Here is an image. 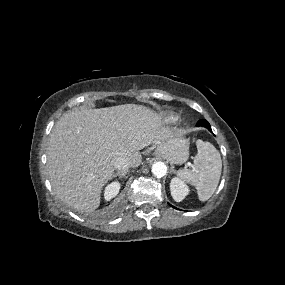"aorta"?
<instances>
[{"instance_id":"1","label":"aorta","mask_w":285,"mask_h":285,"mask_svg":"<svg viewBox=\"0 0 285 285\" xmlns=\"http://www.w3.org/2000/svg\"><path fill=\"white\" fill-rule=\"evenodd\" d=\"M152 173L155 177L161 178L167 173V166L163 162H155L152 165Z\"/></svg>"}]
</instances>
